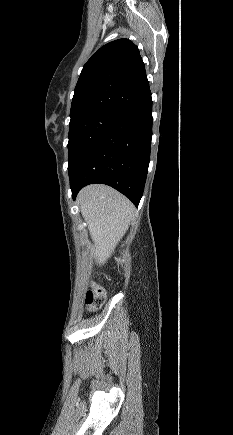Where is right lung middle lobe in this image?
I'll return each instance as SVG.
<instances>
[{
    "label": "right lung middle lobe",
    "mask_w": 233,
    "mask_h": 435,
    "mask_svg": "<svg viewBox=\"0 0 233 435\" xmlns=\"http://www.w3.org/2000/svg\"><path fill=\"white\" fill-rule=\"evenodd\" d=\"M113 110H96L72 117L69 124V159L70 174L77 163L99 138L122 116Z\"/></svg>",
    "instance_id": "obj_1"
}]
</instances>
